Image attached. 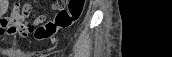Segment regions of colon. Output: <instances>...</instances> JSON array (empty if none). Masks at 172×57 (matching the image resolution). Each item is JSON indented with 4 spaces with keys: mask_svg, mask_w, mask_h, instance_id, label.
Here are the masks:
<instances>
[{
    "mask_svg": "<svg viewBox=\"0 0 172 57\" xmlns=\"http://www.w3.org/2000/svg\"><path fill=\"white\" fill-rule=\"evenodd\" d=\"M66 1L58 0L55 1V5L60 6ZM84 0H69L67 7L59 10L55 18L52 21L44 24V32L41 35V39L52 38L59 30L70 27L73 23L79 20L84 9ZM24 15L31 14V8L25 6L22 9Z\"/></svg>",
    "mask_w": 172,
    "mask_h": 57,
    "instance_id": "colon-1",
    "label": "colon"
}]
</instances>
